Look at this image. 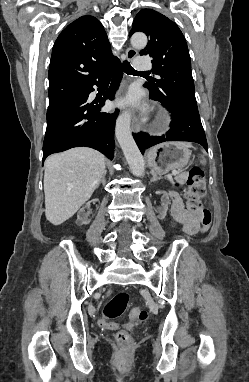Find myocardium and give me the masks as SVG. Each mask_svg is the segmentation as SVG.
<instances>
[{
	"mask_svg": "<svg viewBox=\"0 0 249 382\" xmlns=\"http://www.w3.org/2000/svg\"><path fill=\"white\" fill-rule=\"evenodd\" d=\"M168 121H169L168 117L163 113H160L157 116V123L160 127H165L167 125Z\"/></svg>",
	"mask_w": 249,
	"mask_h": 382,
	"instance_id": "f54148a6",
	"label": "myocardium"
}]
</instances>
